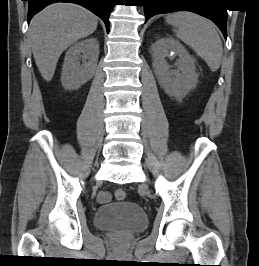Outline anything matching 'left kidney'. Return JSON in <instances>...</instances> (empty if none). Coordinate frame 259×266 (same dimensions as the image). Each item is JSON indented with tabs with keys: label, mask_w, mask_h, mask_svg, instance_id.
<instances>
[{
	"label": "left kidney",
	"mask_w": 259,
	"mask_h": 266,
	"mask_svg": "<svg viewBox=\"0 0 259 266\" xmlns=\"http://www.w3.org/2000/svg\"><path fill=\"white\" fill-rule=\"evenodd\" d=\"M171 53L179 59L175 62L178 71H171L165 58ZM153 68L160 85L169 96L180 99L198 83L195 59L183 45L171 36L162 37L152 45Z\"/></svg>",
	"instance_id": "1"
}]
</instances>
